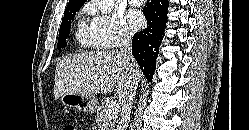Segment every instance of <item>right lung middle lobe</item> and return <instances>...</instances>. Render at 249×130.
I'll list each match as a JSON object with an SVG mask.
<instances>
[{"label":"right lung middle lobe","mask_w":249,"mask_h":130,"mask_svg":"<svg viewBox=\"0 0 249 130\" xmlns=\"http://www.w3.org/2000/svg\"><path fill=\"white\" fill-rule=\"evenodd\" d=\"M81 8V6L76 4H70L67 5L64 17L62 19V23L59 30V38H58V44L57 48H65L66 47V38L68 36V33L70 31L71 26V20L74 18L76 11H78Z\"/></svg>","instance_id":"right-lung-middle-lobe-1"}]
</instances>
